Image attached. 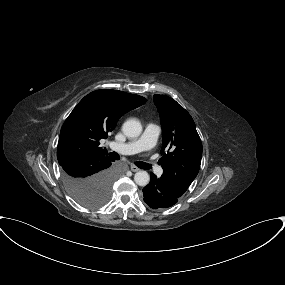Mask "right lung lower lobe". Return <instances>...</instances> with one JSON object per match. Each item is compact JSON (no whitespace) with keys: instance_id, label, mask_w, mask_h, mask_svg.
<instances>
[{"instance_id":"1","label":"right lung lower lobe","mask_w":285,"mask_h":285,"mask_svg":"<svg viewBox=\"0 0 285 285\" xmlns=\"http://www.w3.org/2000/svg\"><path fill=\"white\" fill-rule=\"evenodd\" d=\"M112 159L107 154H91L62 164L66 179L111 182L114 180Z\"/></svg>"}]
</instances>
